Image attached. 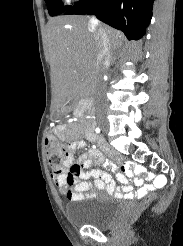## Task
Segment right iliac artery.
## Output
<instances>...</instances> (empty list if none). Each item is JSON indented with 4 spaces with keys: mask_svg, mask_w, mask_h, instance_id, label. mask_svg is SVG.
<instances>
[{
    "mask_svg": "<svg viewBox=\"0 0 183 246\" xmlns=\"http://www.w3.org/2000/svg\"><path fill=\"white\" fill-rule=\"evenodd\" d=\"M95 131H96V133H100V128L97 127V128L95 129Z\"/></svg>",
    "mask_w": 183,
    "mask_h": 246,
    "instance_id": "82829eb1",
    "label": "right iliac artery"
}]
</instances>
